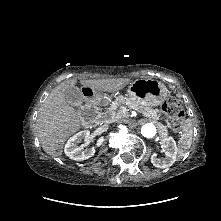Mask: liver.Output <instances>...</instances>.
<instances>
[{
    "instance_id": "obj_1",
    "label": "liver",
    "mask_w": 221,
    "mask_h": 221,
    "mask_svg": "<svg viewBox=\"0 0 221 221\" xmlns=\"http://www.w3.org/2000/svg\"><path fill=\"white\" fill-rule=\"evenodd\" d=\"M130 79L112 78L82 81V85L106 89L112 93L123 89ZM75 81L62 82L48 95L36 120V132L43 150L52 156H61L67 138L83 124L81 113L66 102L63 92Z\"/></svg>"
}]
</instances>
